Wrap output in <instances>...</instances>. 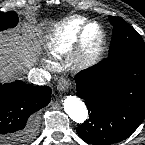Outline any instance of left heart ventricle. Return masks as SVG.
<instances>
[{
	"mask_svg": "<svg viewBox=\"0 0 145 145\" xmlns=\"http://www.w3.org/2000/svg\"><path fill=\"white\" fill-rule=\"evenodd\" d=\"M86 37H87L88 44H90V46L93 47L98 39L97 28L95 26H90L87 30Z\"/></svg>",
	"mask_w": 145,
	"mask_h": 145,
	"instance_id": "obj_1",
	"label": "left heart ventricle"
}]
</instances>
